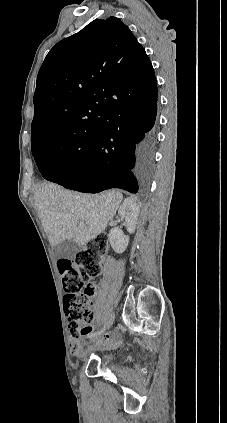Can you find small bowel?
Listing matches in <instances>:
<instances>
[{
    "mask_svg": "<svg viewBox=\"0 0 227 423\" xmlns=\"http://www.w3.org/2000/svg\"><path fill=\"white\" fill-rule=\"evenodd\" d=\"M92 287V293L91 295L94 293L95 287L93 285H91ZM92 331V326L91 325H86L82 332L80 333L79 337L76 338H72L70 341V349L72 351L73 354H78V352L80 351L81 348V336H89L91 334ZM104 342L107 344H117L118 343V338L115 335H107L104 339Z\"/></svg>",
    "mask_w": 227,
    "mask_h": 423,
    "instance_id": "1",
    "label": "small bowel"
}]
</instances>
